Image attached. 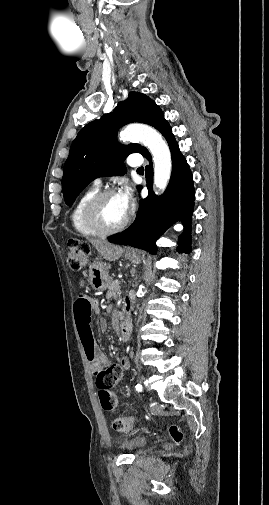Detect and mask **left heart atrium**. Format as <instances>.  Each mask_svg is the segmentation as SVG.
Wrapping results in <instances>:
<instances>
[{
    "instance_id": "39dd6f15",
    "label": "left heart atrium",
    "mask_w": 269,
    "mask_h": 505,
    "mask_svg": "<svg viewBox=\"0 0 269 505\" xmlns=\"http://www.w3.org/2000/svg\"><path fill=\"white\" fill-rule=\"evenodd\" d=\"M116 195L122 208L128 213L133 206V197L130 188L123 186Z\"/></svg>"
}]
</instances>
